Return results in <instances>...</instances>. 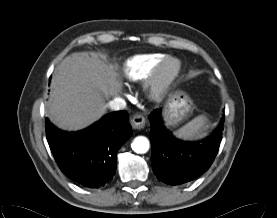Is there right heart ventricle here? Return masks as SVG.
Masks as SVG:
<instances>
[{
    "label": "right heart ventricle",
    "mask_w": 277,
    "mask_h": 218,
    "mask_svg": "<svg viewBox=\"0 0 277 218\" xmlns=\"http://www.w3.org/2000/svg\"><path fill=\"white\" fill-rule=\"evenodd\" d=\"M167 55L162 53L139 54L127 59L124 75L132 82H142L149 78L156 65Z\"/></svg>",
    "instance_id": "obj_1"
}]
</instances>
